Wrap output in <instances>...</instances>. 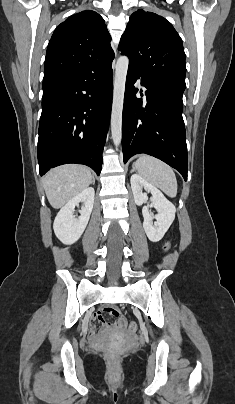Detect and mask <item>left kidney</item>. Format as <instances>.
Segmentation results:
<instances>
[{"label": "left kidney", "instance_id": "5707ae66", "mask_svg": "<svg viewBox=\"0 0 235 404\" xmlns=\"http://www.w3.org/2000/svg\"><path fill=\"white\" fill-rule=\"evenodd\" d=\"M130 182L134 200L137 205H141L147 201V193H151L152 195L151 206L158 211V214L153 216L149 211V206H144L142 209V215L144 218L143 228L150 241L158 242L163 238L164 234L174 221L176 208L166 199L159 189L147 182L140 175L133 174ZM143 189L147 193H143ZM153 219L156 220L154 224Z\"/></svg>", "mask_w": 235, "mask_h": 404}]
</instances>
